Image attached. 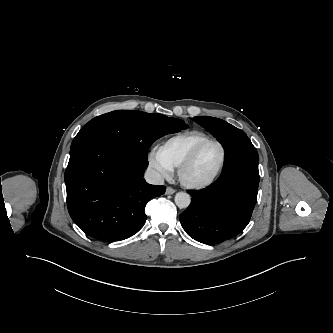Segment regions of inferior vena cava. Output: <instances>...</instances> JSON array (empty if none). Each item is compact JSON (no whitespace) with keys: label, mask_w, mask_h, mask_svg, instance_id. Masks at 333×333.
Instances as JSON below:
<instances>
[{"label":"inferior vena cava","mask_w":333,"mask_h":333,"mask_svg":"<svg viewBox=\"0 0 333 333\" xmlns=\"http://www.w3.org/2000/svg\"><path fill=\"white\" fill-rule=\"evenodd\" d=\"M144 178L147 183L153 184V185H163L164 179L160 175L159 172H157L154 169L148 168L145 172Z\"/></svg>","instance_id":"1"}]
</instances>
